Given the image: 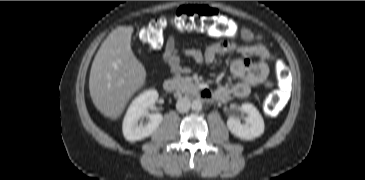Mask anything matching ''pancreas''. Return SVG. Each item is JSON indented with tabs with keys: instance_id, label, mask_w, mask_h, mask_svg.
Segmentation results:
<instances>
[{
	"instance_id": "cf45deb5",
	"label": "pancreas",
	"mask_w": 365,
	"mask_h": 180,
	"mask_svg": "<svg viewBox=\"0 0 365 180\" xmlns=\"http://www.w3.org/2000/svg\"><path fill=\"white\" fill-rule=\"evenodd\" d=\"M173 80L177 85V90L182 93L189 94L195 90V86L190 79L183 78L180 75H177L176 77H174Z\"/></svg>"
}]
</instances>
